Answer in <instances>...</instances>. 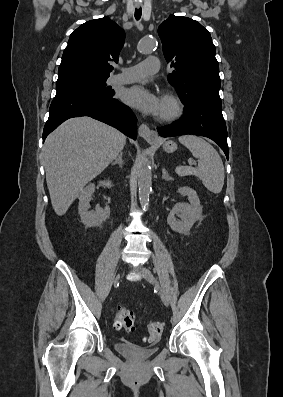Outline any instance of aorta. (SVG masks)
<instances>
[{
    "mask_svg": "<svg viewBox=\"0 0 283 397\" xmlns=\"http://www.w3.org/2000/svg\"><path fill=\"white\" fill-rule=\"evenodd\" d=\"M156 46V40L151 37L144 38L138 45V50L142 53L151 52ZM139 201L144 209L148 208L149 195L152 186V174L150 160L143 155L138 170Z\"/></svg>",
    "mask_w": 283,
    "mask_h": 397,
    "instance_id": "aorta-1",
    "label": "aorta"
}]
</instances>
